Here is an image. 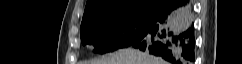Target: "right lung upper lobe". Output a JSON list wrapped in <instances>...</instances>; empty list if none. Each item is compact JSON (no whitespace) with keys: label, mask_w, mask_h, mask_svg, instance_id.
Wrapping results in <instances>:
<instances>
[{"label":"right lung upper lobe","mask_w":242,"mask_h":64,"mask_svg":"<svg viewBox=\"0 0 242 64\" xmlns=\"http://www.w3.org/2000/svg\"><path fill=\"white\" fill-rule=\"evenodd\" d=\"M166 0H87L82 23L96 16L145 8L160 11Z\"/></svg>","instance_id":"right-lung-upper-lobe-1"}]
</instances>
